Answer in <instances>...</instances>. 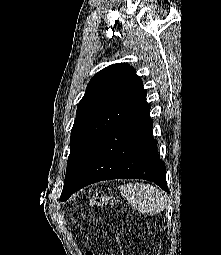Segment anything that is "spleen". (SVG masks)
<instances>
[{
	"mask_svg": "<svg viewBox=\"0 0 221 255\" xmlns=\"http://www.w3.org/2000/svg\"><path fill=\"white\" fill-rule=\"evenodd\" d=\"M121 194L132 208L144 214H157L167 203L165 193L149 184L128 183L121 187Z\"/></svg>",
	"mask_w": 221,
	"mask_h": 255,
	"instance_id": "3e777b00",
	"label": "spleen"
}]
</instances>
